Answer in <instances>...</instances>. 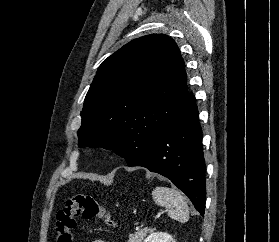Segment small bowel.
<instances>
[{"instance_id":"1","label":"small bowel","mask_w":279,"mask_h":242,"mask_svg":"<svg viewBox=\"0 0 279 242\" xmlns=\"http://www.w3.org/2000/svg\"><path fill=\"white\" fill-rule=\"evenodd\" d=\"M91 242H110V241H107V240H104L101 238H97V239L92 240Z\"/></svg>"}]
</instances>
